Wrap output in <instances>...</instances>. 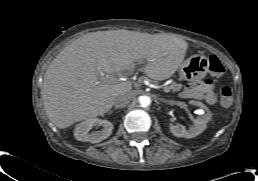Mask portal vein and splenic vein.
Here are the masks:
<instances>
[{
  "instance_id": "obj_1",
  "label": "portal vein and splenic vein",
  "mask_w": 258,
  "mask_h": 181,
  "mask_svg": "<svg viewBox=\"0 0 258 181\" xmlns=\"http://www.w3.org/2000/svg\"><path fill=\"white\" fill-rule=\"evenodd\" d=\"M110 81H112V79H110ZM163 91L166 93L170 92V90L167 87L163 88Z\"/></svg>"
}]
</instances>
